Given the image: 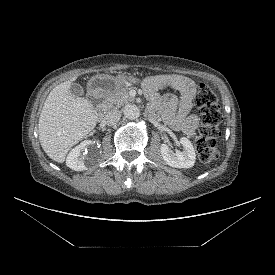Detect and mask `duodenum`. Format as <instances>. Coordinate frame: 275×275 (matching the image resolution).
Wrapping results in <instances>:
<instances>
[{"label": "duodenum", "mask_w": 275, "mask_h": 275, "mask_svg": "<svg viewBox=\"0 0 275 275\" xmlns=\"http://www.w3.org/2000/svg\"><path fill=\"white\" fill-rule=\"evenodd\" d=\"M92 93L94 98L99 101L98 115H99V118H102L108 110V103L105 99L103 92L100 91L99 89H94Z\"/></svg>", "instance_id": "duodenum-1"}]
</instances>
